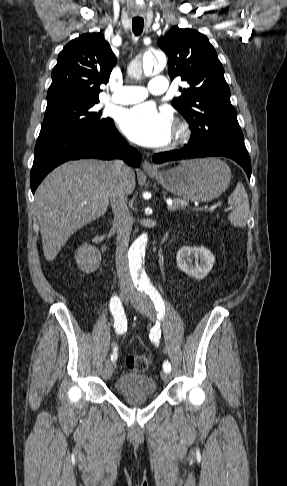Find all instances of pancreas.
<instances>
[{
  "instance_id": "obj_1",
  "label": "pancreas",
  "mask_w": 287,
  "mask_h": 486,
  "mask_svg": "<svg viewBox=\"0 0 287 486\" xmlns=\"http://www.w3.org/2000/svg\"><path fill=\"white\" fill-rule=\"evenodd\" d=\"M188 206V201L180 198L173 200V206L168 207L169 211L184 210Z\"/></svg>"
}]
</instances>
